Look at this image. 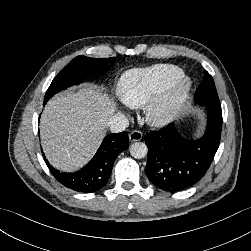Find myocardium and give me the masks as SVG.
I'll return each instance as SVG.
<instances>
[{"label":"myocardium","instance_id":"f54148a6","mask_svg":"<svg viewBox=\"0 0 251 251\" xmlns=\"http://www.w3.org/2000/svg\"><path fill=\"white\" fill-rule=\"evenodd\" d=\"M191 87L192 81L185 75L168 85L147 103L144 110L146 121L155 127L171 122L182 110Z\"/></svg>","mask_w":251,"mask_h":251}]
</instances>
